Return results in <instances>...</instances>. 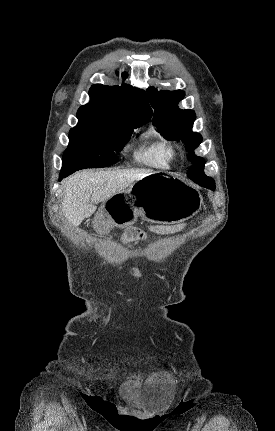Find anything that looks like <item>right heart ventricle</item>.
I'll list each match as a JSON object with an SVG mask.
<instances>
[{
	"mask_svg": "<svg viewBox=\"0 0 275 431\" xmlns=\"http://www.w3.org/2000/svg\"><path fill=\"white\" fill-rule=\"evenodd\" d=\"M175 157L173 146L161 136L138 154V158L145 164L161 169L170 168Z\"/></svg>",
	"mask_w": 275,
	"mask_h": 431,
	"instance_id": "e07e8e85",
	"label": "right heart ventricle"
}]
</instances>
